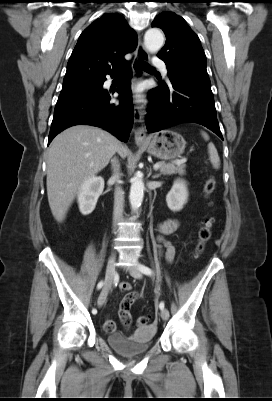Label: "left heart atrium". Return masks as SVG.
I'll use <instances>...</instances> for the list:
<instances>
[{"label":"left heart atrium","mask_w":272,"mask_h":401,"mask_svg":"<svg viewBox=\"0 0 272 401\" xmlns=\"http://www.w3.org/2000/svg\"><path fill=\"white\" fill-rule=\"evenodd\" d=\"M140 92H141L140 88L135 89L136 98H138V99H140V97H141Z\"/></svg>","instance_id":"obj_1"}]
</instances>
